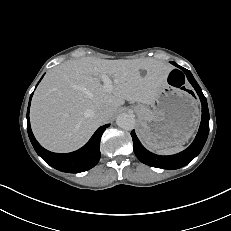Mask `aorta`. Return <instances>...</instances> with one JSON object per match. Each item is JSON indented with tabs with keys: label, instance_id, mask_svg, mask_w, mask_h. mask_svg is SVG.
I'll use <instances>...</instances> for the list:
<instances>
[{
	"label": "aorta",
	"instance_id": "obj_1",
	"mask_svg": "<svg viewBox=\"0 0 231 231\" xmlns=\"http://www.w3.org/2000/svg\"><path fill=\"white\" fill-rule=\"evenodd\" d=\"M116 124L124 130H132L135 127V119L132 115L122 113L117 116Z\"/></svg>",
	"mask_w": 231,
	"mask_h": 231
}]
</instances>
